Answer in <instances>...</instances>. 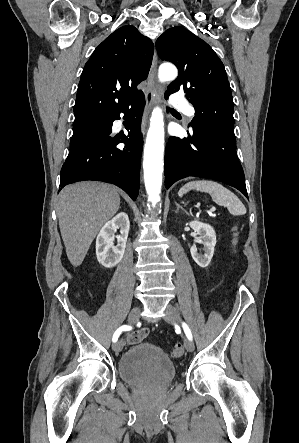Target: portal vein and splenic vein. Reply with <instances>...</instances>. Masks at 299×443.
<instances>
[{"label": "portal vein and splenic vein", "instance_id": "obj_1", "mask_svg": "<svg viewBox=\"0 0 299 443\" xmlns=\"http://www.w3.org/2000/svg\"><path fill=\"white\" fill-rule=\"evenodd\" d=\"M215 210H216V208L213 207V208L210 209V212H213V211H215Z\"/></svg>", "mask_w": 299, "mask_h": 443}]
</instances>
